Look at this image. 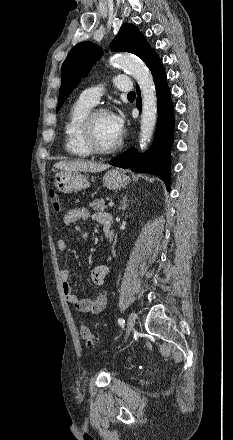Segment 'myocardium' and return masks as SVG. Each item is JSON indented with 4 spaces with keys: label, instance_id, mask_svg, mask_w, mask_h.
I'll use <instances>...</instances> for the list:
<instances>
[{
    "label": "myocardium",
    "instance_id": "obj_1",
    "mask_svg": "<svg viewBox=\"0 0 233 440\" xmlns=\"http://www.w3.org/2000/svg\"><path fill=\"white\" fill-rule=\"evenodd\" d=\"M102 114H110L109 110L105 108L92 109L85 119L83 120L81 126V139L85 147L92 153L97 155H109L116 153L123 145V138L120 136L118 141L109 148L100 147L96 140L94 134V121Z\"/></svg>",
    "mask_w": 233,
    "mask_h": 440
}]
</instances>
